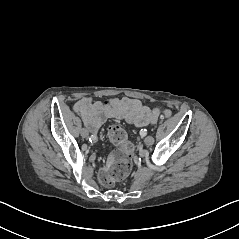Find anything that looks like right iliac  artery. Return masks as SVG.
<instances>
[{
  "label": "right iliac artery",
  "mask_w": 239,
  "mask_h": 239,
  "mask_svg": "<svg viewBox=\"0 0 239 239\" xmlns=\"http://www.w3.org/2000/svg\"><path fill=\"white\" fill-rule=\"evenodd\" d=\"M90 140H91V142H96L97 141V137L95 135H91Z\"/></svg>",
  "instance_id": "obj_1"
}]
</instances>
